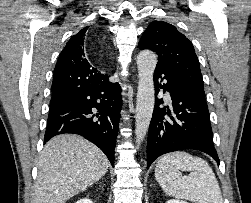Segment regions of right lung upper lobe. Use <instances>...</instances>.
Listing matches in <instances>:
<instances>
[{
  "mask_svg": "<svg viewBox=\"0 0 251 203\" xmlns=\"http://www.w3.org/2000/svg\"><path fill=\"white\" fill-rule=\"evenodd\" d=\"M89 26L72 36L61 51L54 69L50 105L66 100L86 86L108 80V75L94 68L84 52Z\"/></svg>",
  "mask_w": 251,
  "mask_h": 203,
  "instance_id": "cb5924a9",
  "label": "right lung upper lobe"
}]
</instances>
